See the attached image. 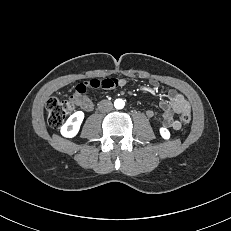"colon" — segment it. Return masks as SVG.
Here are the masks:
<instances>
[{
    "mask_svg": "<svg viewBox=\"0 0 231 231\" xmlns=\"http://www.w3.org/2000/svg\"><path fill=\"white\" fill-rule=\"evenodd\" d=\"M48 113V123L53 128H58L65 121L66 117L74 110V102L72 99L59 100L50 98L46 103ZM191 120L190 113H183L181 121L188 124Z\"/></svg>",
    "mask_w": 231,
    "mask_h": 231,
    "instance_id": "obj_1",
    "label": "colon"
}]
</instances>
